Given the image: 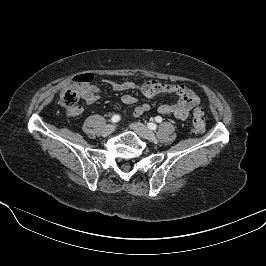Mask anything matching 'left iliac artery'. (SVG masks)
I'll list each match as a JSON object with an SVG mask.
<instances>
[{
    "label": "left iliac artery",
    "mask_w": 266,
    "mask_h": 266,
    "mask_svg": "<svg viewBox=\"0 0 266 266\" xmlns=\"http://www.w3.org/2000/svg\"><path fill=\"white\" fill-rule=\"evenodd\" d=\"M156 122L160 123L162 122V118L160 116H157L155 118ZM148 128L151 130H156L157 129V125L155 123H148Z\"/></svg>",
    "instance_id": "1"
}]
</instances>
